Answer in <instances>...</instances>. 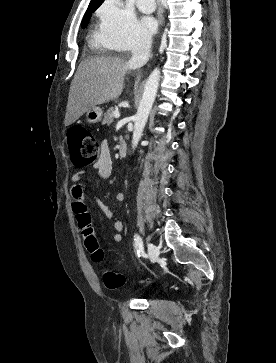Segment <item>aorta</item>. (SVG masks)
Instances as JSON below:
<instances>
[{
    "label": "aorta",
    "instance_id": "1",
    "mask_svg": "<svg viewBox=\"0 0 276 363\" xmlns=\"http://www.w3.org/2000/svg\"><path fill=\"white\" fill-rule=\"evenodd\" d=\"M160 82V69L155 68L148 77L142 99L140 101L134 121V131L132 137V148L135 149L143 134L150 110L154 103Z\"/></svg>",
    "mask_w": 276,
    "mask_h": 363
}]
</instances>
